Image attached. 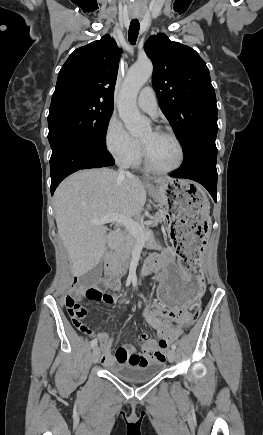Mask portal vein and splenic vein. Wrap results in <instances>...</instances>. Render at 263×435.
Segmentation results:
<instances>
[{
  "instance_id": "obj_1",
  "label": "portal vein and splenic vein",
  "mask_w": 263,
  "mask_h": 435,
  "mask_svg": "<svg viewBox=\"0 0 263 435\" xmlns=\"http://www.w3.org/2000/svg\"><path fill=\"white\" fill-rule=\"evenodd\" d=\"M110 222H118L123 224L137 239L145 241L150 237V233L142 229L141 225L131 218L124 215H109L101 219H93V224H105Z\"/></svg>"
}]
</instances>
